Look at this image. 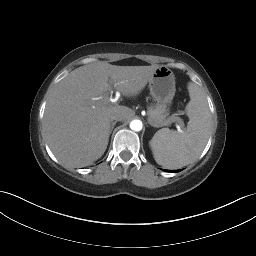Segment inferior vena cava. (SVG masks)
Returning <instances> with one entry per match:
<instances>
[{"instance_id": "1", "label": "inferior vena cava", "mask_w": 256, "mask_h": 256, "mask_svg": "<svg viewBox=\"0 0 256 256\" xmlns=\"http://www.w3.org/2000/svg\"><path fill=\"white\" fill-rule=\"evenodd\" d=\"M111 121L115 120V121H122V116L119 113H113L110 116Z\"/></svg>"}]
</instances>
